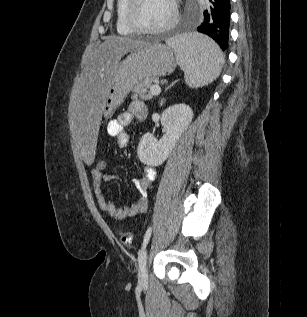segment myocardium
I'll return each mask as SVG.
<instances>
[{"mask_svg": "<svg viewBox=\"0 0 307 317\" xmlns=\"http://www.w3.org/2000/svg\"><path fill=\"white\" fill-rule=\"evenodd\" d=\"M141 0H129L126 7V21L128 26L138 34L146 35H159L170 31L178 22L179 19V9L177 5V0H170L172 5V16L170 20L158 28H147L139 24L136 18V12Z\"/></svg>", "mask_w": 307, "mask_h": 317, "instance_id": "f54148a6", "label": "myocardium"}]
</instances>
